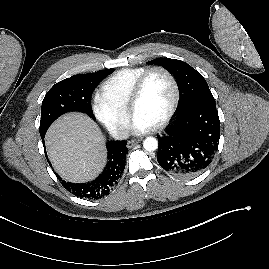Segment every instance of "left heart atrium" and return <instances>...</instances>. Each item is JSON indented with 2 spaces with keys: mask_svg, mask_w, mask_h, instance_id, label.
Segmentation results:
<instances>
[{
  "mask_svg": "<svg viewBox=\"0 0 269 269\" xmlns=\"http://www.w3.org/2000/svg\"><path fill=\"white\" fill-rule=\"evenodd\" d=\"M151 128H152L151 125H149L145 121H143V120H141V119L134 116V118L132 120V130L135 133H144V132L148 131Z\"/></svg>",
  "mask_w": 269,
  "mask_h": 269,
  "instance_id": "39dd6f15",
  "label": "left heart atrium"
}]
</instances>
